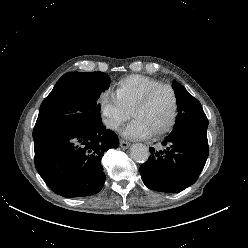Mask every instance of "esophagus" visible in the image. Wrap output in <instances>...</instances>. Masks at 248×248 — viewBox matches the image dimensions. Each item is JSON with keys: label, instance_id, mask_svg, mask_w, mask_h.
<instances>
[{"label": "esophagus", "instance_id": "34e87169", "mask_svg": "<svg viewBox=\"0 0 248 248\" xmlns=\"http://www.w3.org/2000/svg\"><path fill=\"white\" fill-rule=\"evenodd\" d=\"M119 145L123 149H127L130 146V143L125 140H120Z\"/></svg>", "mask_w": 248, "mask_h": 248}]
</instances>
